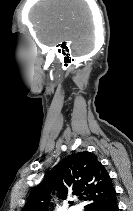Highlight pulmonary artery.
Returning a JSON list of instances; mask_svg holds the SVG:
<instances>
[{
    "label": "pulmonary artery",
    "mask_w": 133,
    "mask_h": 211,
    "mask_svg": "<svg viewBox=\"0 0 133 211\" xmlns=\"http://www.w3.org/2000/svg\"><path fill=\"white\" fill-rule=\"evenodd\" d=\"M68 211H81V210L77 207H71V208H69Z\"/></svg>",
    "instance_id": "1"
}]
</instances>
